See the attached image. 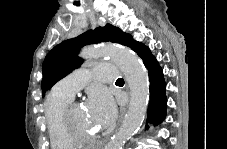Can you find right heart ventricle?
Returning <instances> with one entry per match:
<instances>
[{
    "mask_svg": "<svg viewBox=\"0 0 227 149\" xmlns=\"http://www.w3.org/2000/svg\"><path fill=\"white\" fill-rule=\"evenodd\" d=\"M73 97L53 89L44 103V114L52 149H71L76 146L65 132L62 115L65 107L72 102Z\"/></svg>",
    "mask_w": 227,
    "mask_h": 149,
    "instance_id": "e07e8e85",
    "label": "right heart ventricle"
}]
</instances>
